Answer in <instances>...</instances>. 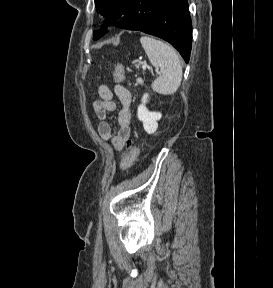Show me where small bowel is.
Masks as SVG:
<instances>
[{"label":"small bowel","instance_id":"small-bowel-1","mask_svg":"<svg viewBox=\"0 0 273 288\" xmlns=\"http://www.w3.org/2000/svg\"><path fill=\"white\" fill-rule=\"evenodd\" d=\"M98 94L100 99L95 100L92 104L94 113L101 120L97 127L98 134L103 140L110 141L115 149L122 150L129 140L131 132V93L124 86L115 83L113 88L108 84L100 85ZM114 96L121 103V109L117 117L118 131L116 134H113L110 124L106 121L108 115L116 108Z\"/></svg>","mask_w":273,"mask_h":288}]
</instances>
